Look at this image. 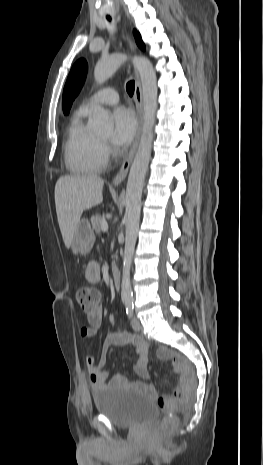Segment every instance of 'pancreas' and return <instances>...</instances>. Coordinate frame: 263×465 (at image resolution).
Listing matches in <instances>:
<instances>
[{
	"label": "pancreas",
	"mask_w": 263,
	"mask_h": 465,
	"mask_svg": "<svg viewBox=\"0 0 263 465\" xmlns=\"http://www.w3.org/2000/svg\"><path fill=\"white\" fill-rule=\"evenodd\" d=\"M103 218L99 215L96 214L91 217V224L93 229L95 230L96 233H99L101 230V223L103 222Z\"/></svg>",
	"instance_id": "1"
}]
</instances>
